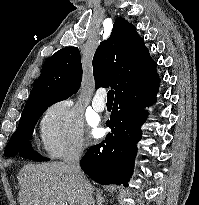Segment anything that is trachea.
<instances>
[{
  "label": "trachea",
  "mask_w": 199,
  "mask_h": 205,
  "mask_svg": "<svg viewBox=\"0 0 199 205\" xmlns=\"http://www.w3.org/2000/svg\"><path fill=\"white\" fill-rule=\"evenodd\" d=\"M114 99V90H109L107 93V100H113Z\"/></svg>",
  "instance_id": "3493384b"
}]
</instances>
